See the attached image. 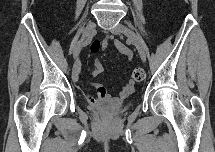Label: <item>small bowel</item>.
<instances>
[{
	"label": "small bowel",
	"instance_id": "obj_1",
	"mask_svg": "<svg viewBox=\"0 0 215 152\" xmlns=\"http://www.w3.org/2000/svg\"><path fill=\"white\" fill-rule=\"evenodd\" d=\"M107 41H114L116 48L121 53L126 55L129 59H132V57H133L132 51L127 46H125L123 43L115 40L113 36L109 35L107 37L106 41L103 42L104 48L107 46ZM102 71H103V68H102L101 62L99 60H96L95 64H94V69L92 71V75L94 77H97V76L101 75ZM79 72H80V66L77 65V66H75V68L73 70V74H72V78L74 81L78 80ZM91 86L96 90L97 96L96 97H91V96L87 97V100L90 104H94L96 102L107 101L109 99V95L107 94L106 89L103 84L93 83V84H91ZM134 88H135L134 83L132 81H129L128 83H126L120 92V98H125L128 95H130L134 91Z\"/></svg>",
	"mask_w": 215,
	"mask_h": 152
}]
</instances>
